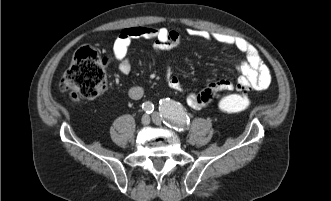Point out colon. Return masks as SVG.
Returning <instances> with one entry per match:
<instances>
[{
    "instance_id": "obj_1",
    "label": "colon",
    "mask_w": 331,
    "mask_h": 201,
    "mask_svg": "<svg viewBox=\"0 0 331 201\" xmlns=\"http://www.w3.org/2000/svg\"><path fill=\"white\" fill-rule=\"evenodd\" d=\"M108 59L89 47H81L74 55L70 67L62 76L59 86L67 92L74 101L91 99L101 95L107 86L104 66ZM248 90H240L220 99L218 106L226 113H236L247 110L252 100Z\"/></svg>"
}]
</instances>
